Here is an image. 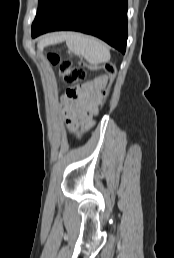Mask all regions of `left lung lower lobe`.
Returning <instances> with one entry per match:
<instances>
[{
    "label": "left lung lower lobe",
    "instance_id": "obj_1",
    "mask_svg": "<svg viewBox=\"0 0 174 258\" xmlns=\"http://www.w3.org/2000/svg\"><path fill=\"white\" fill-rule=\"evenodd\" d=\"M56 30L94 35L124 54L127 0H57L32 37Z\"/></svg>",
    "mask_w": 174,
    "mask_h": 258
}]
</instances>
